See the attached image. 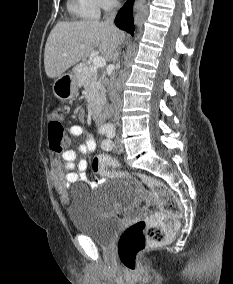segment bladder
<instances>
[{
  "mask_svg": "<svg viewBox=\"0 0 233 284\" xmlns=\"http://www.w3.org/2000/svg\"><path fill=\"white\" fill-rule=\"evenodd\" d=\"M134 189L123 180L110 182L101 197L96 200L83 186H75L70 193L68 218L73 228L80 234L90 237L102 246H108L121 227V221L100 211L101 206H125L134 198Z\"/></svg>",
  "mask_w": 233,
  "mask_h": 284,
  "instance_id": "1",
  "label": "bladder"
}]
</instances>
